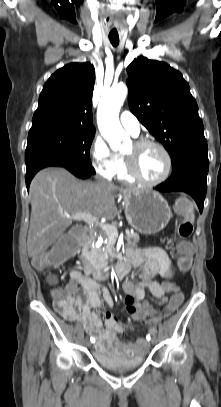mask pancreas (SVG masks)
Instances as JSON below:
<instances>
[{"instance_id": "pancreas-1", "label": "pancreas", "mask_w": 221, "mask_h": 407, "mask_svg": "<svg viewBox=\"0 0 221 407\" xmlns=\"http://www.w3.org/2000/svg\"><path fill=\"white\" fill-rule=\"evenodd\" d=\"M97 237L106 238L107 234L105 231L90 229L89 237L84 244V252L88 256L90 263L94 268L102 269L106 266L107 261V251L105 249H98L93 246ZM125 239L128 246H136L140 241L138 233H131L126 231Z\"/></svg>"}]
</instances>
